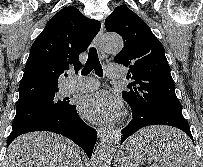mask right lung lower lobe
I'll use <instances>...</instances> for the list:
<instances>
[{"label":"right lung lower lobe","instance_id":"right-lung-lower-lobe-1","mask_svg":"<svg viewBox=\"0 0 203 167\" xmlns=\"http://www.w3.org/2000/svg\"><path fill=\"white\" fill-rule=\"evenodd\" d=\"M33 131H51L66 136L78 144L89 158L97 138L96 130L79 117L75 105L66 112L37 119L13 129L7 139V146L19 135Z\"/></svg>","mask_w":203,"mask_h":167}]
</instances>
